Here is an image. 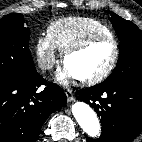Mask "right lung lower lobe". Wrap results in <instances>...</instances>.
<instances>
[{
	"instance_id": "1",
	"label": "right lung lower lobe",
	"mask_w": 142,
	"mask_h": 142,
	"mask_svg": "<svg viewBox=\"0 0 142 142\" xmlns=\"http://www.w3.org/2000/svg\"><path fill=\"white\" fill-rule=\"evenodd\" d=\"M46 85L36 71L19 80L0 82V142H37L48 116L63 107L67 98L54 83Z\"/></svg>"
}]
</instances>
